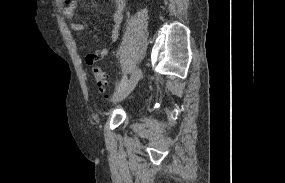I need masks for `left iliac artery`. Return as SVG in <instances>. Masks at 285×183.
I'll list each match as a JSON object with an SVG mask.
<instances>
[{
  "mask_svg": "<svg viewBox=\"0 0 285 183\" xmlns=\"http://www.w3.org/2000/svg\"><path fill=\"white\" fill-rule=\"evenodd\" d=\"M126 82H127V77H126V75H124V76L122 77L120 83H119L118 86L116 87V90H115V91L118 92L121 88H123V87L125 86ZM116 92H115V93H116Z\"/></svg>",
  "mask_w": 285,
  "mask_h": 183,
  "instance_id": "1",
  "label": "left iliac artery"
}]
</instances>
